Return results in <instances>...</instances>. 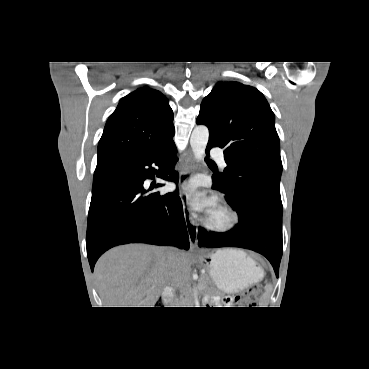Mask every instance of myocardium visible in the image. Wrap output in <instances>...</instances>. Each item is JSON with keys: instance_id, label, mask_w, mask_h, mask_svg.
<instances>
[{"instance_id": "obj_1", "label": "myocardium", "mask_w": 369, "mask_h": 369, "mask_svg": "<svg viewBox=\"0 0 369 369\" xmlns=\"http://www.w3.org/2000/svg\"><path fill=\"white\" fill-rule=\"evenodd\" d=\"M219 214L221 220H215L212 214ZM239 216L235 209L222 199H217L203 220L204 226L217 233H228L238 224Z\"/></svg>"}]
</instances>
